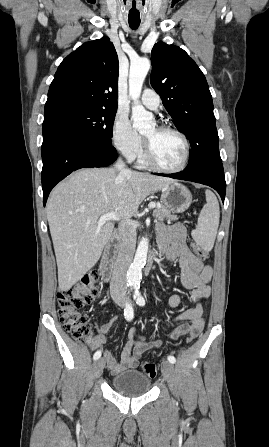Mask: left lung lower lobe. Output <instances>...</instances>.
I'll list each match as a JSON object with an SVG mask.
<instances>
[{
  "instance_id": "0a47b994",
  "label": "left lung lower lobe",
  "mask_w": 269,
  "mask_h": 447,
  "mask_svg": "<svg viewBox=\"0 0 269 447\" xmlns=\"http://www.w3.org/2000/svg\"><path fill=\"white\" fill-rule=\"evenodd\" d=\"M155 175L170 177L174 179L187 180L192 182H197L201 184L208 185L214 188L224 203L225 193H226V182L224 178V170L222 163H212L208 164L195 171L183 170L174 174H159Z\"/></svg>"
}]
</instances>
